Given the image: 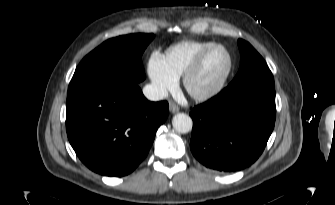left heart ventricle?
Returning <instances> with one entry per match:
<instances>
[{"instance_id":"1","label":"left heart ventricle","mask_w":335,"mask_h":205,"mask_svg":"<svg viewBox=\"0 0 335 205\" xmlns=\"http://www.w3.org/2000/svg\"><path fill=\"white\" fill-rule=\"evenodd\" d=\"M228 57L224 50L216 49L208 55L202 68L191 81L194 92H204L212 88L224 75Z\"/></svg>"}]
</instances>
